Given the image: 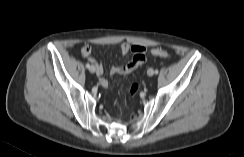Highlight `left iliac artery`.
<instances>
[{
    "instance_id": "44dca946",
    "label": "left iliac artery",
    "mask_w": 244,
    "mask_h": 157,
    "mask_svg": "<svg viewBox=\"0 0 244 157\" xmlns=\"http://www.w3.org/2000/svg\"><path fill=\"white\" fill-rule=\"evenodd\" d=\"M155 74H158V70H155Z\"/></svg>"
}]
</instances>
